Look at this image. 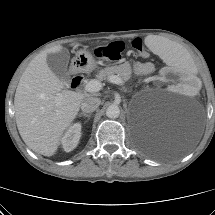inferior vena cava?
<instances>
[{
	"mask_svg": "<svg viewBox=\"0 0 215 215\" xmlns=\"http://www.w3.org/2000/svg\"><path fill=\"white\" fill-rule=\"evenodd\" d=\"M101 100L96 97L85 98L81 103V110L84 113L94 112L100 105Z\"/></svg>",
	"mask_w": 215,
	"mask_h": 215,
	"instance_id": "602c4592",
	"label": "inferior vena cava"
}]
</instances>
